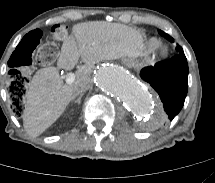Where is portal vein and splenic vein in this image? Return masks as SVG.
Wrapping results in <instances>:
<instances>
[{"mask_svg":"<svg viewBox=\"0 0 215 183\" xmlns=\"http://www.w3.org/2000/svg\"><path fill=\"white\" fill-rule=\"evenodd\" d=\"M75 81V75L73 73L69 74L66 78L67 84H72Z\"/></svg>","mask_w":215,"mask_h":183,"instance_id":"portal-vein-and-splenic-vein-1","label":"portal vein and splenic vein"}]
</instances>
